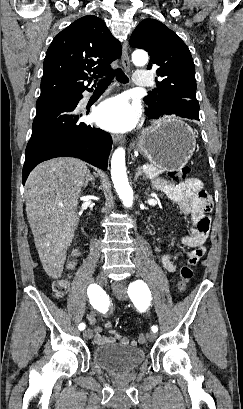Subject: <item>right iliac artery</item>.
Masks as SVG:
<instances>
[{"instance_id":"1","label":"right iliac artery","mask_w":243,"mask_h":409,"mask_svg":"<svg viewBox=\"0 0 243 409\" xmlns=\"http://www.w3.org/2000/svg\"><path fill=\"white\" fill-rule=\"evenodd\" d=\"M88 296L90 299V303L92 306L101 312L106 311V298L102 292V289L96 285V284H91L88 288ZM86 325L84 323L79 324L78 328L79 330H84Z\"/></svg>"}]
</instances>
